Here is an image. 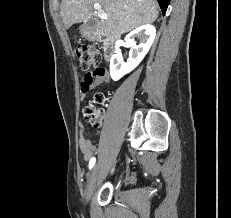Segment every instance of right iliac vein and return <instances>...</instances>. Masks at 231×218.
Masks as SVG:
<instances>
[{"mask_svg": "<svg viewBox=\"0 0 231 218\" xmlns=\"http://www.w3.org/2000/svg\"><path fill=\"white\" fill-rule=\"evenodd\" d=\"M99 167L96 164L92 171L89 174V178L87 181L86 189H85V200L88 203L93 195V192L95 190L96 180L98 177Z\"/></svg>", "mask_w": 231, "mask_h": 218, "instance_id": "1", "label": "right iliac vein"}]
</instances>
